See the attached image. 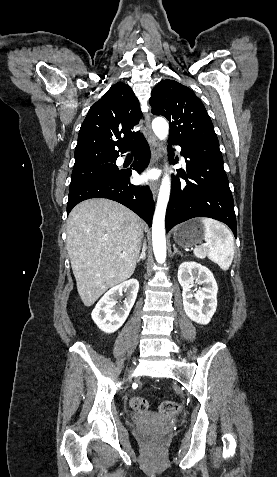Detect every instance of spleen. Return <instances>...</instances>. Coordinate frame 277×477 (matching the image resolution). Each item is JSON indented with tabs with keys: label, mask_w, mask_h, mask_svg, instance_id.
<instances>
[{
	"label": "spleen",
	"mask_w": 277,
	"mask_h": 477,
	"mask_svg": "<svg viewBox=\"0 0 277 477\" xmlns=\"http://www.w3.org/2000/svg\"><path fill=\"white\" fill-rule=\"evenodd\" d=\"M201 222L205 228L206 244L196 247L193 251L194 255L200 259L208 257L223 271H227L234 257L235 247L232 233L225 225L216 220L202 218Z\"/></svg>",
	"instance_id": "obj_1"
}]
</instances>
